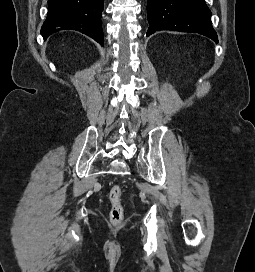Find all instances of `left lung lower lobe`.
<instances>
[{
  "mask_svg": "<svg viewBox=\"0 0 255 272\" xmlns=\"http://www.w3.org/2000/svg\"><path fill=\"white\" fill-rule=\"evenodd\" d=\"M149 36L156 31L199 33L218 43L211 24V11L204 0H148Z\"/></svg>",
  "mask_w": 255,
  "mask_h": 272,
  "instance_id": "0a47b994",
  "label": "left lung lower lobe"
}]
</instances>
